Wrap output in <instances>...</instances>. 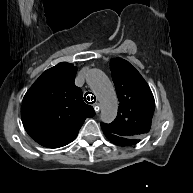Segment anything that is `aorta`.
Segmentation results:
<instances>
[{
    "mask_svg": "<svg viewBox=\"0 0 193 193\" xmlns=\"http://www.w3.org/2000/svg\"><path fill=\"white\" fill-rule=\"evenodd\" d=\"M87 83L101 103V120L112 122L118 110V100L109 78L99 69H92L87 76Z\"/></svg>",
    "mask_w": 193,
    "mask_h": 193,
    "instance_id": "obj_1",
    "label": "aorta"
}]
</instances>
